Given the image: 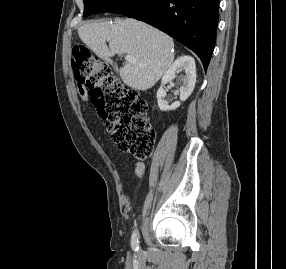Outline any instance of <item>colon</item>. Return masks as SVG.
<instances>
[{"label":"colon","mask_w":286,"mask_h":269,"mask_svg":"<svg viewBox=\"0 0 286 269\" xmlns=\"http://www.w3.org/2000/svg\"><path fill=\"white\" fill-rule=\"evenodd\" d=\"M71 52L76 81L88 89L113 141L122 151L146 160L155 142V131L146 119V100L115 78L108 66L84 44H74Z\"/></svg>","instance_id":"1"}]
</instances>
